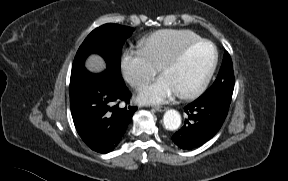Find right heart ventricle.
Returning <instances> with one entry per match:
<instances>
[{
    "label": "right heart ventricle",
    "instance_id": "1",
    "mask_svg": "<svg viewBox=\"0 0 288 181\" xmlns=\"http://www.w3.org/2000/svg\"><path fill=\"white\" fill-rule=\"evenodd\" d=\"M199 39L202 38L190 30L166 29L152 33L141 41L140 46L149 61L160 68L182 47Z\"/></svg>",
    "mask_w": 288,
    "mask_h": 181
}]
</instances>
